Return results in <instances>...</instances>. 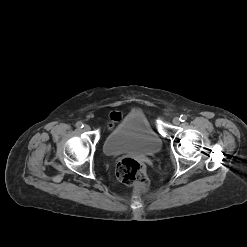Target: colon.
<instances>
[{"instance_id":"5ec220e1","label":"colon","mask_w":247,"mask_h":247,"mask_svg":"<svg viewBox=\"0 0 247 247\" xmlns=\"http://www.w3.org/2000/svg\"><path fill=\"white\" fill-rule=\"evenodd\" d=\"M117 178L128 185H133L140 190L148 187V177L144 164L135 158H124L116 167Z\"/></svg>"}]
</instances>
